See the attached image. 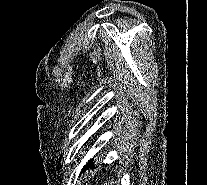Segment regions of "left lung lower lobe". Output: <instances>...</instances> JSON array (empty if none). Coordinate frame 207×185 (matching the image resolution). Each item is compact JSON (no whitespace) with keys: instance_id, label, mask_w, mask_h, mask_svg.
Here are the masks:
<instances>
[{"instance_id":"left-lung-lower-lobe-1","label":"left lung lower lobe","mask_w":207,"mask_h":185,"mask_svg":"<svg viewBox=\"0 0 207 185\" xmlns=\"http://www.w3.org/2000/svg\"><path fill=\"white\" fill-rule=\"evenodd\" d=\"M92 161H93V159L89 160V161H88V164H87L86 166L91 165V164H92V163H91Z\"/></svg>"}]
</instances>
